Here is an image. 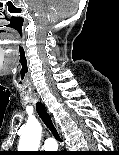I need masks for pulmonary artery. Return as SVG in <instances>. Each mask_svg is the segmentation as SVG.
Returning <instances> with one entry per match:
<instances>
[{"label": "pulmonary artery", "mask_w": 119, "mask_h": 155, "mask_svg": "<svg viewBox=\"0 0 119 155\" xmlns=\"http://www.w3.org/2000/svg\"><path fill=\"white\" fill-rule=\"evenodd\" d=\"M43 144L44 148L48 151L57 149L56 141L53 138H47Z\"/></svg>", "instance_id": "e3ab8cb5"}]
</instances>
